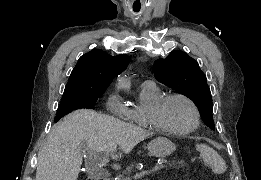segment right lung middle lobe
<instances>
[{"instance_id": "obj_1", "label": "right lung middle lobe", "mask_w": 261, "mask_h": 180, "mask_svg": "<svg viewBox=\"0 0 261 180\" xmlns=\"http://www.w3.org/2000/svg\"><path fill=\"white\" fill-rule=\"evenodd\" d=\"M103 93L104 91L65 89L57 109L55 122L73 110L91 108Z\"/></svg>"}]
</instances>
